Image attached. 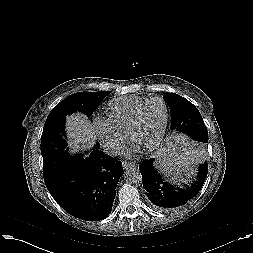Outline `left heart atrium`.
Masks as SVG:
<instances>
[{
    "label": "left heart atrium",
    "mask_w": 253,
    "mask_h": 253,
    "mask_svg": "<svg viewBox=\"0 0 253 253\" xmlns=\"http://www.w3.org/2000/svg\"><path fill=\"white\" fill-rule=\"evenodd\" d=\"M140 150H141V147L138 146L137 144H135V143L132 142V143H130V144L126 147V149H125V151H124V154H125L126 156H132V155H134V154L140 152Z\"/></svg>",
    "instance_id": "left-heart-atrium-1"
}]
</instances>
